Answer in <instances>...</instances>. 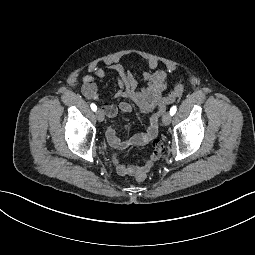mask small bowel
Here are the masks:
<instances>
[{
	"mask_svg": "<svg viewBox=\"0 0 255 255\" xmlns=\"http://www.w3.org/2000/svg\"><path fill=\"white\" fill-rule=\"evenodd\" d=\"M149 68L151 69L150 72H145L139 77L135 72L126 69L120 63L108 64L105 68L98 65H90L88 69L92 75H84L81 78L82 94L87 99L100 101L97 84L93 75L98 78H105L109 73H113L116 76L119 89L114 97L122 101L118 106L103 102L102 109L109 118H115L119 111L128 113L132 110L131 104L126 100L133 102L142 114H150L147 130L136 133L127 140L121 141L117 137L113 124H110L106 129V139L113 151V164L117 174L121 176H134L140 170H150L164 153L163 143L157 137L158 117H156L154 110L162 100L169 75L166 70L157 69V61H150ZM140 80L145 83L144 88L139 87ZM147 144L152 145L153 151L142 164L126 165L117 157L116 152L119 150Z\"/></svg>",
	"mask_w": 255,
	"mask_h": 255,
	"instance_id": "1",
	"label": "small bowel"
}]
</instances>
